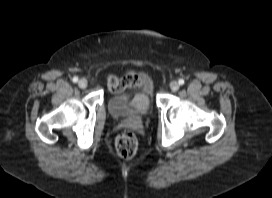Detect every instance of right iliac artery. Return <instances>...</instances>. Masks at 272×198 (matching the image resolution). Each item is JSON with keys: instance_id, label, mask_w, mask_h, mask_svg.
Returning <instances> with one entry per match:
<instances>
[{"instance_id": "obj_1", "label": "right iliac artery", "mask_w": 272, "mask_h": 198, "mask_svg": "<svg viewBox=\"0 0 272 198\" xmlns=\"http://www.w3.org/2000/svg\"><path fill=\"white\" fill-rule=\"evenodd\" d=\"M72 81H73L74 83L78 82V77H76V76L73 77Z\"/></svg>"}]
</instances>
